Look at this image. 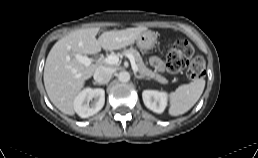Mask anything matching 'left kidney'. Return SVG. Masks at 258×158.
<instances>
[{
	"label": "left kidney",
	"instance_id": "1",
	"mask_svg": "<svg viewBox=\"0 0 258 158\" xmlns=\"http://www.w3.org/2000/svg\"><path fill=\"white\" fill-rule=\"evenodd\" d=\"M142 98L145 106L155 113H163L167 107L168 95L164 91L144 90Z\"/></svg>",
	"mask_w": 258,
	"mask_h": 158
}]
</instances>
